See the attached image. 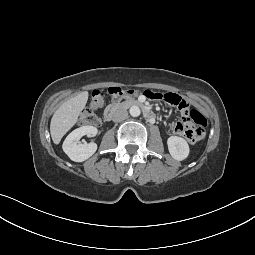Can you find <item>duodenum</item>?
Segmentation results:
<instances>
[{"mask_svg":"<svg viewBox=\"0 0 255 255\" xmlns=\"http://www.w3.org/2000/svg\"><path fill=\"white\" fill-rule=\"evenodd\" d=\"M128 107H139L142 109L143 114L147 119L153 120L155 118L154 112L142 101L135 98H129L122 102L110 104L104 111V119L110 121L118 111Z\"/></svg>","mask_w":255,"mask_h":255,"instance_id":"obj_1","label":"duodenum"}]
</instances>
